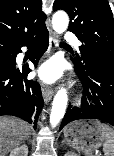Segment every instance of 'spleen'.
<instances>
[{
    "instance_id": "obj_1",
    "label": "spleen",
    "mask_w": 114,
    "mask_h": 156,
    "mask_svg": "<svg viewBox=\"0 0 114 156\" xmlns=\"http://www.w3.org/2000/svg\"><path fill=\"white\" fill-rule=\"evenodd\" d=\"M100 129L105 133L104 156H114V130L106 124H101Z\"/></svg>"
}]
</instances>
